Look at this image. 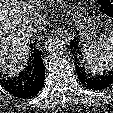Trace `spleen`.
Instances as JSON below:
<instances>
[{
	"label": "spleen",
	"instance_id": "3e777b00",
	"mask_svg": "<svg viewBox=\"0 0 113 113\" xmlns=\"http://www.w3.org/2000/svg\"><path fill=\"white\" fill-rule=\"evenodd\" d=\"M83 52L89 73L96 75L110 70L113 67V35L86 45Z\"/></svg>",
	"mask_w": 113,
	"mask_h": 113
}]
</instances>
